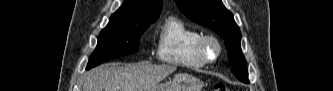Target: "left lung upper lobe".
Segmentation results:
<instances>
[{
  "label": "left lung upper lobe",
  "mask_w": 333,
  "mask_h": 91,
  "mask_svg": "<svg viewBox=\"0 0 333 91\" xmlns=\"http://www.w3.org/2000/svg\"><path fill=\"white\" fill-rule=\"evenodd\" d=\"M181 12L193 22L208 27L219 34L228 50L231 70L242 82L248 83L245 57L242 54L241 32L232 13L221 0H175Z\"/></svg>",
  "instance_id": "left-lung-upper-lobe-1"
}]
</instances>
